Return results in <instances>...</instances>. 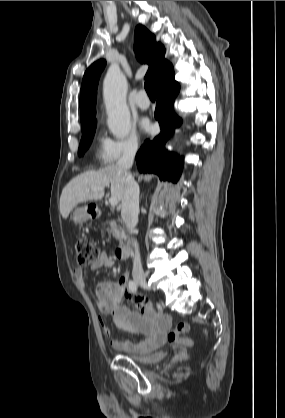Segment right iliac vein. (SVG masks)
<instances>
[{
	"label": "right iliac vein",
	"mask_w": 285,
	"mask_h": 418,
	"mask_svg": "<svg viewBox=\"0 0 285 418\" xmlns=\"http://www.w3.org/2000/svg\"><path fill=\"white\" fill-rule=\"evenodd\" d=\"M135 281L145 289H151V286L147 283L144 275L135 276Z\"/></svg>",
	"instance_id": "1"
}]
</instances>
